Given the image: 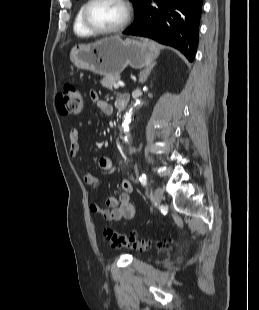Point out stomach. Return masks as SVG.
<instances>
[{
    "mask_svg": "<svg viewBox=\"0 0 259 310\" xmlns=\"http://www.w3.org/2000/svg\"><path fill=\"white\" fill-rule=\"evenodd\" d=\"M159 55L154 42L106 37L92 44H79L70 60L79 69L100 75H119L128 65L135 69L149 66Z\"/></svg>",
    "mask_w": 259,
    "mask_h": 310,
    "instance_id": "0dacf381",
    "label": "stomach"
}]
</instances>
